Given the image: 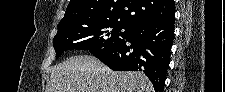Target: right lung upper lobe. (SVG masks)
<instances>
[{
    "instance_id": "1",
    "label": "right lung upper lobe",
    "mask_w": 225,
    "mask_h": 92,
    "mask_svg": "<svg viewBox=\"0 0 225 92\" xmlns=\"http://www.w3.org/2000/svg\"><path fill=\"white\" fill-rule=\"evenodd\" d=\"M175 15L173 0H71L58 30L76 22H119L134 27L141 23L167 21Z\"/></svg>"
}]
</instances>
